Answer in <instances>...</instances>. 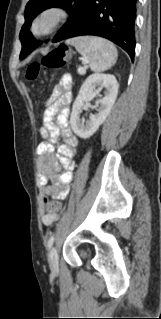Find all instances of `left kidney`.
Segmentation results:
<instances>
[{
  "mask_svg": "<svg viewBox=\"0 0 161 319\" xmlns=\"http://www.w3.org/2000/svg\"><path fill=\"white\" fill-rule=\"evenodd\" d=\"M105 88L104 96L99 95L95 102L97 113L91 115L86 122L79 118V114L87 106L85 102ZM118 82L114 75L93 74L82 84L79 94L73 103L70 124L74 133L80 138L87 139L92 136L109 115L118 94Z\"/></svg>",
  "mask_w": 161,
  "mask_h": 319,
  "instance_id": "1",
  "label": "left kidney"
}]
</instances>
